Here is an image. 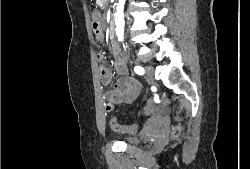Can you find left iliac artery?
<instances>
[{
	"instance_id": "44dca946",
	"label": "left iliac artery",
	"mask_w": 250,
	"mask_h": 169,
	"mask_svg": "<svg viewBox=\"0 0 250 169\" xmlns=\"http://www.w3.org/2000/svg\"><path fill=\"white\" fill-rule=\"evenodd\" d=\"M134 71H135V73H137L138 75H143V74L145 73L144 68L141 67V66H135V67H134Z\"/></svg>"
}]
</instances>
